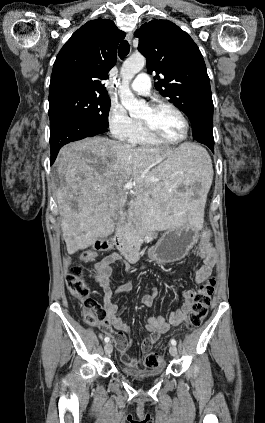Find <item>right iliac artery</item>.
I'll list each match as a JSON object with an SVG mask.
<instances>
[{
    "label": "right iliac artery",
    "mask_w": 265,
    "mask_h": 423,
    "mask_svg": "<svg viewBox=\"0 0 265 423\" xmlns=\"http://www.w3.org/2000/svg\"><path fill=\"white\" fill-rule=\"evenodd\" d=\"M104 341L107 343L110 341L109 337H105Z\"/></svg>",
    "instance_id": "obj_1"
}]
</instances>
